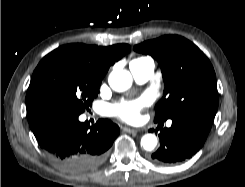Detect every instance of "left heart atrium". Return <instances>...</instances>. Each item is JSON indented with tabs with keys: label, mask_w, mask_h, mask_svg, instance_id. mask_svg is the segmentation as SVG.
I'll list each match as a JSON object with an SVG mask.
<instances>
[{
	"label": "left heart atrium",
	"mask_w": 245,
	"mask_h": 187,
	"mask_svg": "<svg viewBox=\"0 0 245 187\" xmlns=\"http://www.w3.org/2000/svg\"><path fill=\"white\" fill-rule=\"evenodd\" d=\"M149 103L150 99L147 96L131 101L122 100L112 105L110 112L126 122H135L139 119L142 109Z\"/></svg>",
	"instance_id": "1"
}]
</instances>
